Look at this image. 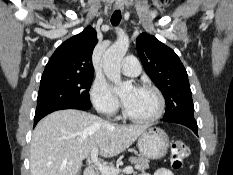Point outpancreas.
I'll use <instances>...</instances> for the list:
<instances>
[{
  "instance_id": "cf45deb5",
  "label": "pancreas",
  "mask_w": 233,
  "mask_h": 175,
  "mask_svg": "<svg viewBox=\"0 0 233 175\" xmlns=\"http://www.w3.org/2000/svg\"><path fill=\"white\" fill-rule=\"evenodd\" d=\"M129 161L135 164L137 170H146L149 168V160L144 157H131ZM102 175V173H101Z\"/></svg>"
}]
</instances>
